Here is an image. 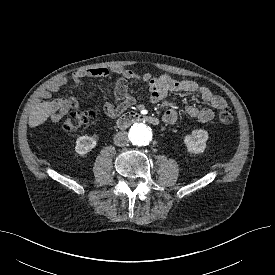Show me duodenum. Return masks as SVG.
<instances>
[{"mask_svg": "<svg viewBox=\"0 0 275 275\" xmlns=\"http://www.w3.org/2000/svg\"><path fill=\"white\" fill-rule=\"evenodd\" d=\"M135 122H146L152 125H157L159 120L151 115H146L138 112L124 113L117 119V126L120 129H125Z\"/></svg>", "mask_w": 275, "mask_h": 275, "instance_id": "410a0bca", "label": "duodenum"}]
</instances>
